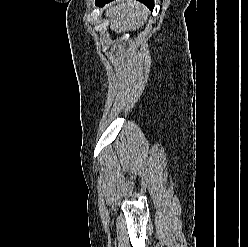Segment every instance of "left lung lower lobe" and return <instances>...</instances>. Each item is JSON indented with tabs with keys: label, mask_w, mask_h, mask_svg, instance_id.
Instances as JSON below:
<instances>
[{
	"label": "left lung lower lobe",
	"mask_w": 248,
	"mask_h": 247,
	"mask_svg": "<svg viewBox=\"0 0 248 247\" xmlns=\"http://www.w3.org/2000/svg\"><path fill=\"white\" fill-rule=\"evenodd\" d=\"M110 1L113 0H95V5L104 6L106 3H109ZM138 1L144 3L151 10L154 7V0H138Z\"/></svg>",
	"instance_id": "0a47b994"
}]
</instances>
